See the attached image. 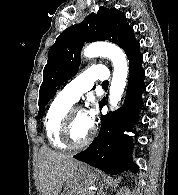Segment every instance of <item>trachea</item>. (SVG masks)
<instances>
[{
  "label": "trachea",
  "instance_id": "1",
  "mask_svg": "<svg viewBox=\"0 0 178 195\" xmlns=\"http://www.w3.org/2000/svg\"><path fill=\"white\" fill-rule=\"evenodd\" d=\"M108 85H109V82H108V81H104V82L102 83V86H103V87H108Z\"/></svg>",
  "mask_w": 178,
  "mask_h": 195
}]
</instances>
